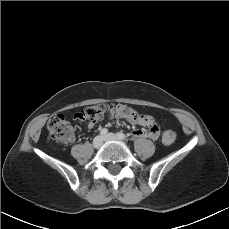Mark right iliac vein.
Segmentation results:
<instances>
[{"mask_svg":"<svg viewBox=\"0 0 229 229\" xmlns=\"http://www.w3.org/2000/svg\"><path fill=\"white\" fill-rule=\"evenodd\" d=\"M103 144V137L102 136H96L93 140V146L95 148H100Z\"/></svg>","mask_w":229,"mask_h":229,"instance_id":"obj_1","label":"right iliac vein"}]
</instances>
